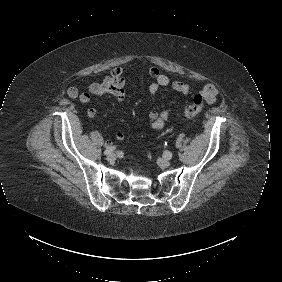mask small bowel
<instances>
[{
  "label": "small bowel",
  "mask_w": 282,
  "mask_h": 282,
  "mask_svg": "<svg viewBox=\"0 0 282 282\" xmlns=\"http://www.w3.org/2000/svg\"><path fill=\"white\" fill-rule=\"evenodd\" d=\"M148 75L153 79V82L149 86V93L151 95H156L160 88L170 86L173 90L188 94L191 90L190 86L181 81H172L169 77L161 73L159 68L155 66L146 67ZM128 82L127 77L123 75V69L120 66L115 67L111 73L101 82L90 84L86 91L81 92L76 86L69 87L67 90V95L71 99L79 98L82 102V97L84 94L91 97L94 96H104L112 95L116 98L118 104L121 106L126 98L125 86ZM201 94L204 95L205 101L209 104H213L217 100L218 91L217 88L212 84H206L201 89ZM97 110L95 108H90L87 111V116L89 118L95 117ZM171 114V109H164L160 112H152L148 119V124L152 129H161ZM116 138L118 140H124L125 134L122 131L116 133Z\"/></svg>",
  "instance_id": "c3829d8e"
}]
</instances>
